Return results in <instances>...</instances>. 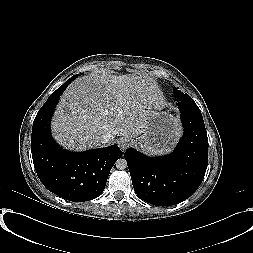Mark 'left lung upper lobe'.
<instances>
[{"instance_id": "obj_1", "label": "left lung upper lobe", "mask_w": 253, "mask_h": 253, "mask_svg": "<svg viewBox=\"0 0 253 253\" xmlns=\"http://www.w3.org/2000/svg\"><path fill=\"white\" fill-rule=\"evenodd\" d=\"M174 93L182 101L195 103L189 95L182 93L181 91L178 90V88L177 89L175 88Z\"/></svg>"}]
</instances>
